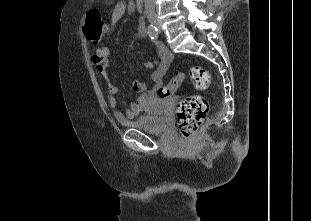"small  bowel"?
<instances>
[{
	"label": "small bowel",
	"mask_w": 311,
	"mask_h": 221,
	"mask_svg": "<svg viewBox=\"0 0 311 221\" xmlns=\"http://www.w3.org/2000/svg\"><path fill=\"white\" fill-rule=\"evenodd\" d=\"M126 10V4L122 1L117 2L111 13L110 25L108 30L113 28L117 22L123 17ZM140 21V20H139ZM137 22V36H145V27L142 28ZM155 51L158 55V61L155 63H146L147 67H153V70L150 74V78L153 82V87L150 90H147L146 83L140 80H134L132 82V87L135 91L140 92V96L133 102L129 108H122L119 104L117 95L119 93L118 86L112 81V75L109 70V61H110V50L107 46H102L96 49L93 55V63L96 65V68L100 75L103 77L106 83L107 93H108V103L110 108L113 110L114 116L117 120H122L124 118H133L139 113L142 112L146 103L153 98L159 88L163 85V78L168 70L169 65L173 61V55L171 52L161 43H155Z\"/></svg>",
	"instance_id": "small-bowel-1"
}]
</instances>
